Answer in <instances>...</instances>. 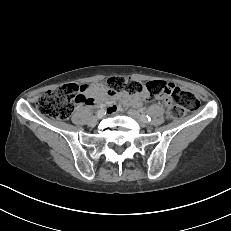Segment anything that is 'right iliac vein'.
<instances>
[{
    "mask_svg": "<svg viewBox=\"0 0 231 231\" xmlns=\"http://www.w3.org/2000/svg\"><path fill=\"white\" fill-rule=\"evenodd\" d=\"M103 116H104V113L97 114V116L94 117V118L91 120L90 124H91V125H94V124H95L99 119H101Z\"/></svg>",
    "mask_w": 231,
    "mask_h": 231,
    "instance_id": "right-iliac-vein-1",
    "label": "right iliac vein"
}]
</instances>
